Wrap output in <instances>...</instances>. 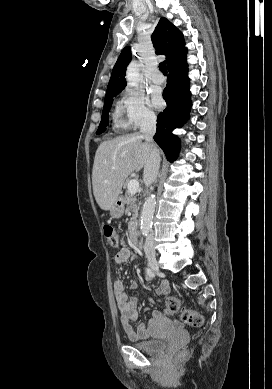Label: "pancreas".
<instances>
[{
  "label": "pancreas",
  "instance_id": "1",
  "mask_svg": "<svg viewBox=\"0 0 272 389\" xmlns=\"http://www.w3.org/2000/svg\"><path fill=\"white\" fill-rule=\"evenodd\" d=\"M124 203L126 204V212L132 211V217L128 223L129 231H132L136 226V220L138 217L139 204L137 203V198L135 194H131L128 191L123 196Z\"/></svg>",
  "mask_w": 272,
  "mask_h": 389
}]
</instances>
